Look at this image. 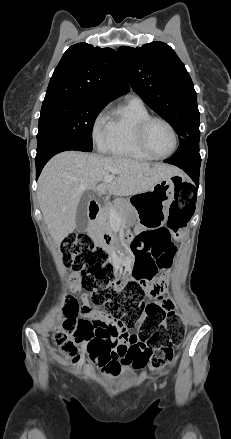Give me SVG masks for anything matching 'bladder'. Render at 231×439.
Returning a JSON list of instances; mask_svg holds the SVG:
<instances>
[{
	"instance_id": "1",
	"label": "bladder",
	"mask_w": 231,
	"mask_h": 439,
	"mask_svg": "<svg viewBox=\"0 0 231 439\" xmlns=\"http://www.w3.org/2000/svg\"><path fill=\"white\" fill-rule=\"evenodd\" d=\"M140 379V375L138 374V373H131L130 375H129V378H128V381L130 382V383H133V382H136V381H138Z\"/></svg>"
}]
</instances>
